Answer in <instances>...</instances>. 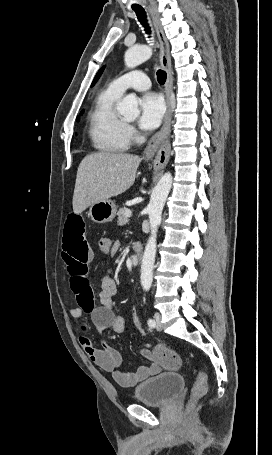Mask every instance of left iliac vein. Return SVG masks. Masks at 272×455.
<instances>
[{"label":"left iliac vein","mask_w":272,"mask_h":455,"mask_svg":"<svg viewBox=\"0 0 272 455\" xmlns=\"http://www.w3.org/2000/svg\"><path fill=\"white\" fill-rule=\"evenodd\" d=\"M154 318H155V327L158 331H161L162 330V324H161V315L156 312L154 314Z\"/></svg>","instance_id":"4c4485c4"}]
</instances>
